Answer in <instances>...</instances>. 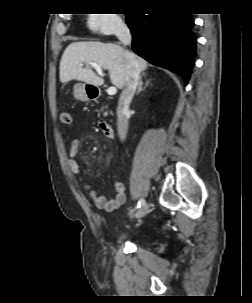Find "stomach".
I'll use <instances>...</instances> for the list:
<instances>
[{
  "label": "stomach",
  "mask_w": 252,
  "mask_h": 303,
  "mask_svg": "<svg viewBox=\"0 0 252 303\" xmlns=\"http://www.w3.org/2000/svg\"><path fill=\"white\" fill-rule=\"evenodd\" d=\"M88 87L87 83H76L73 91L74 97L80 101H87L89 99Z\"/></svg>",
  "instance_id": "stomach-1"
}]
</instances>
